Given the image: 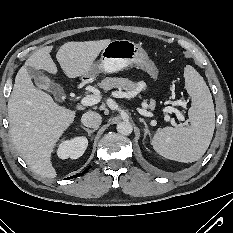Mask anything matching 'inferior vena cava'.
<instances>
[{"label":"inferior vena cava","mask_w":233,"mask_h":233,"mask_svg":"<svg viewBox=\"0 0 233 233\" xmlns=\"http://www.w3.org/2000/svg\"><path fill=\"white\" fill-rule=\"evenodd\" d=\"M81 122L86 127L97 129L102 123V117L97 112L88 111L82 115Z\"/></svg>","instance_id":"inferior-vena-cava-1"}]
</instances>
